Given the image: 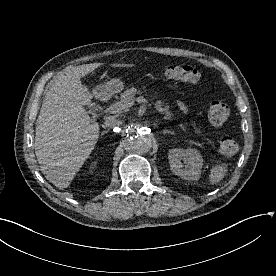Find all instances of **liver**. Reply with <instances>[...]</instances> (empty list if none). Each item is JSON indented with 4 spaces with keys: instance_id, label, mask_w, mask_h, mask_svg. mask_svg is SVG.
Instances as JSON below:
<instances>
[{
    "instance_id": "6515ba94",
    "label": "liver",
    "mask_w": 276,
    "mask_h": 276,
    "mask_svg": "<svg viewBox=\"0 0 276 276\" xmlns=\"http://www.w3.org/2000/svg\"><path fill=\"white\" fill-rule=\"evenodd\" d=\"M90 63L67 68L46 90L36 121L35 154L40 170L60 190L67 188L99 138V125L84 105L94 94L81 77L100 67Z\"/></svg>"
}]
</instances>
